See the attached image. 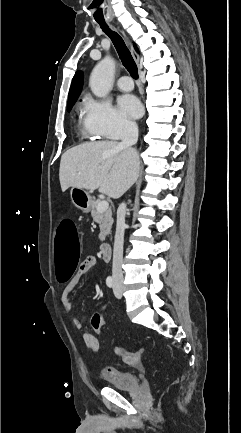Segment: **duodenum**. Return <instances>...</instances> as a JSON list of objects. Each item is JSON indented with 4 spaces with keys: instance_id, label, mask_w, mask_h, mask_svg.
Segmentation results:
<instances>
[{
    "instance_id": "duodenum-1",
    "label": "duodenum",
    "mask_w": 241,
    "mask_h": 433,
    "mask_svg": "<svg viewBox=\"0 0 241 433\" xmlns=\"http://www.w3.org/2000/svg\"><path fill=\"white\" fill-rule=\"evenodd\" d=\"M100 253L104 261H109L111 258L112 247L109 243H103L100 246Z\"/></svg>"
}]
</instances>
